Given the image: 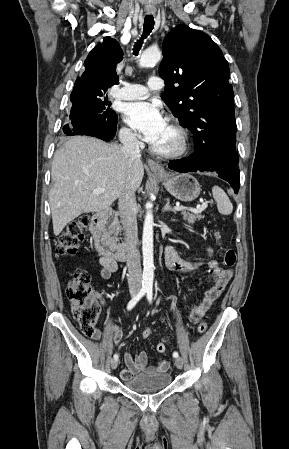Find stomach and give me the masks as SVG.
Instances as JSON below:
<instances>
[{"mask_svg": "<svg viewBox=\"0 0 289 449\" xmlns=\"http://www.w3.org/2000/svg\"><path fill=\"white\" fill-rule=\"evenodd\" d=\"M156 176L163 181L166 190L180 201H193L200 194V185L190 174L182 173L170 176L156 174Z\"/></svg>", "mask_w": 289, "mask_h": 449, "instance_id": "0dacf381", "label": "stomach"}]
</instances>
